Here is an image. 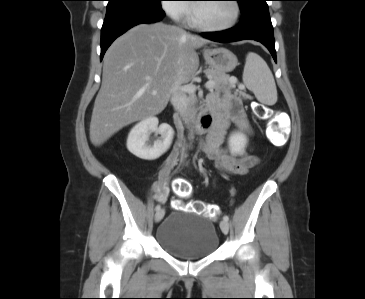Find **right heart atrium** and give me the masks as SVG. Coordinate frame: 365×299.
I'll return each instance as SVG.
<instances>
[{
    "instance_id": "d8ad5b80",
    "label": "right heart atrium",
    "mask_w": 365,
    "mask_h": 299,
    "mask_svg": "<svg viewBox=\"0 0 365 299\" xmlns=\"http://www.w3.org/2000/svg\"><path fill=\"white\" fill-rule=\"evenodd\" d=\"M184 0H163V10L176 21L185 20L190 13L189 6Z\"/></svg>"
}]
</instances>
